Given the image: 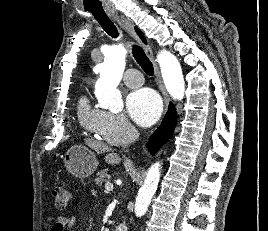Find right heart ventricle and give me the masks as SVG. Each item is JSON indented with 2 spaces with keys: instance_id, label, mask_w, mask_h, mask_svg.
<instances>
[{
  "instance_id": "1",
  "label": "right heart ventricle",
  "mask_w": 268,
  "mask_h": 231,
  "mask_svg": "<svg viewBox=\"0 0 268 231\" xmlns=\"http://www.w3.org/2000/svg\"><path fill=\"white\" fill-rule=\"evenodd\" d=\"M104 111L93 107L86 95H83L77 105V117L80 125L89 131L99 136V125L102 120Z\"/></svg>"
}]
</instances>
